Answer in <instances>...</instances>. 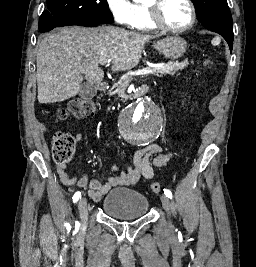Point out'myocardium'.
I'll use <instances>...</instances> for the list:
<instances>
[{
    "label": "myocardium",
    "instance_id": "1",
    "mask_svg": "<svg viewBox=\"0 0 256 267\" xmlns=\"http://www.w3.org/2000/svg\"><path fill=\"white\" fill-rule=\"evenodd\" d=\"M165 1H167V0H148V11H147V14H146L144 20L152 23V25H153L152 29L149 31L159 30L162 32H170V33H174V34H180V33H184L186 31L190 30L191 28H193V26L196 23L197 17H196L195 8L189 0H181L188 6V8L190 10V14H191L190 22L186 26H184L182 28H175V27H172L170 25L162 23L160 18H159V15H158V10L161 8V4Z\"/></svg>",
    "mask_w": 256,
    "mask_h": 267
}]
</instances>
